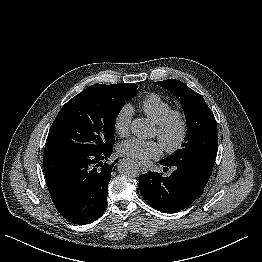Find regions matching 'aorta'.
I'll return each mask as SVG.
<instances>
[{"label": "aorta", "mask_w": 262, "mask_h": 262, "mask_svg": "<svg viewBox=\"0 0 262 262\" xmlns=\"http://www.w3.org/2000/svg\"><path fill=\"white\" fill-rule=\"evenodd\" d=\"M131 131L136 137L146 139L153 135V126L146 118H136L132 121ZM117 168L126 177L135 178L140 174L137 163L128 158L120 160Z\"/></svg>", "instance_id": "1"}]
</instances>
